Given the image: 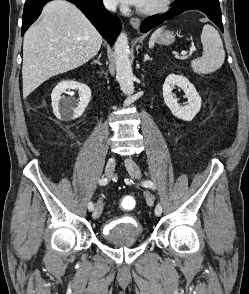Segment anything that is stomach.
Wrapping results in <instances>:
<instances>
[{
  "label": "stomach",
  "mask_w": 249,
  "mask_h": 294,
  "mask_svg": "<svg viewBox=\"0 0 249 294\" xmlns=\"http://www.w3.org/2000/svg\"><path fill=\"white\" fill-rule=\"evenodd\" d=\"M157 39L161 44L169 45L174 42L175 36L170 31H164L159 34Z\"/></svg>",
  "instance_id": "0dacf381"
}]
</instances>
